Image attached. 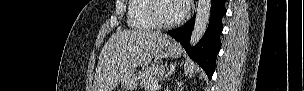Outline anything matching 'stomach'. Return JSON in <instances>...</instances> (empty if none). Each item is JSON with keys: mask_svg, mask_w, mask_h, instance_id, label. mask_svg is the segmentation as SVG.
I'll return each instance as SVG.
<instances>
[{"mask_svg": "<svg viewBox=\"0 0 304 91\" xmlns=\"http://www.w3.org/2000/svg\"><path fill=\"white\" fill-rule=\"evenodd\" d=\"M181 56V48L172 39H165L155 51V59L178 58ZM124 91H134L138 85V77L133 70L127 72L121 79Z\"/></svg>", "mask_w": 304, "mask_h": 91, "instance_id": "stomach-1", "label": "stomach"}]
</instances>
